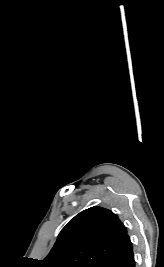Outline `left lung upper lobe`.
I'll use <instances>...</instances> for the list:
<instances>
[{
  "mask_svg": "<svg viewBox=\"0 0 164 267\" xmlns=\"http://www.w3.org/2000/svg\"><path fill=\"white\" fill-rule=\"evenodd\" d=\"M127 230L117 215L98 206L76 215L60 232L42 267H102Z\"/></svg>",
  "mask_w": 164,
  "mask_h": 267,
  "instance_id": "left-lung-upper-lobe-1",
  "label": "left lung upper lobe"
}]
</instances>
